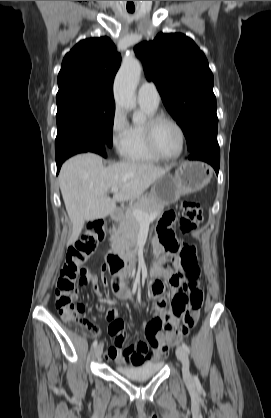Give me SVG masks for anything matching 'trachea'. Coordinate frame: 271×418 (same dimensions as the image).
Wrapping results in <instances>:
<instances>
[{
    "label": "trachea",
    "mask_w": 271,
    "mask_h": 418,
    "mask_svg": "<svg viewBox=\"0 0 271 418\" xmlns=\"http://www.w3.org/2000/svg\"><path fill=\"white\" fill-rule=\"evenodd\" d=\"M128 12L129 13H133L134 12V9H129Z\"/></svg>",
    "instance_id": "obj_1"
}]
</instances>
